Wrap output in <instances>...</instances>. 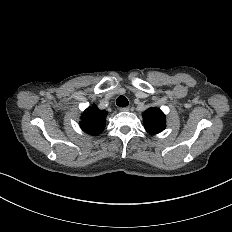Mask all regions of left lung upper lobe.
I'll return each instance as SVG.
<instances>
[{
	"label": "left lung upper lobe",
	"instance_id": "5c2ea615",
	"mask_svg": "<svg viewBox=\"0 0 232 232\" xmlns=\"http://www.w3.org/2000/svg\"><path fill=\"white\" fill-rule=\"evenodd\" d=\"M145 129L151 134H157L165 129L164 113L158 108H149L143 113Z\"/></svg>",
	"mask_w": 232,
	"mask_h": 232
}]
</instances>
